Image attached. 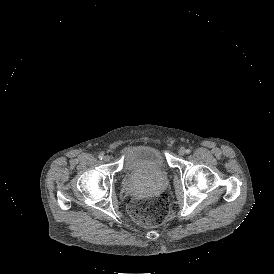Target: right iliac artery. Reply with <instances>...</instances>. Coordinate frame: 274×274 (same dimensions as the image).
Masks as SVG:
<instances>
[{"label":"right iliac artery","instance_id":"obj_1","mask_svg":"<svg viewBox=\"0 0 274 274\" xmlns=\"http://www.w3.org/2000/svg\"><path fill=\"white\" fill-rule=\"evenodd\" d=\"M103 157H104V155H103V154H100V155L98 156V158H99L100 160H102V159H103Z\"/></svg>","mask_w":274,"mask_h":274}]
</instances>
